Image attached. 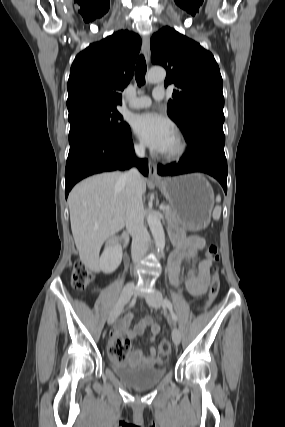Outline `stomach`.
<instances>
[{
  "mask_svg": "<svg viewBox=\"0 0 285 427\" xmlns=\"http://www.w3.org/2000/svg\"><path fill=\"white\" fill-rule=\"evenodd\" d=\"M157 186L176 212V224L192 231L209 224L214 192L203 175L195 173L165 178Z\"/></svg>",
  "mask_w": 285,
  "mask_h": 427,
  "instance_id": "0dacf381",
  "label": "stomach"
}]
</instances>
